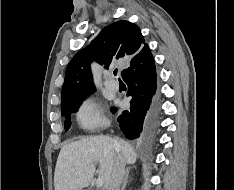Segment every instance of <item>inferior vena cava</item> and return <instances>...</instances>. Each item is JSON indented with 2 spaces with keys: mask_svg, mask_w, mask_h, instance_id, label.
Returning a JSON list of instances; mask_svg holds the SVG:
<instances>
[{
  "mask_svg": "<svg viewBox=\"0 0 234 190\" xmlns=\"http://www.w3.org/2000/svg\"><path fill=\"white\" fill-rule=\"evenodd\" d=\"M116 145V144H115ZM125 173V163L121 153H117L115 163L106 190H120Z\"/></svg>",
  "mask_w": 234,
  "mask_h": 190,
  "instance_id": "1",
  "label": "inferior vena cava"
}]
</instances>
